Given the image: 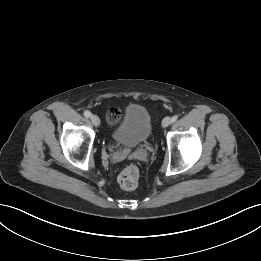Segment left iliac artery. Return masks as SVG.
I'll return each instance as SVG.
<instances>
[{"instance_id": "obj_1", "label": "left iliac artery", "mask_w": 261, "mask_h": 261, "mask_svg": "<svg viewBox=\"0 0 261 261\" xmlns=\"http://www.w3.org/2000/svg\"><path fill=\"white\" fill-rule=\"evenodd\" d=\"M177 119H178V116H177V115H174V116L171 118V123L175 122Z\"/></svg>"}]
</instances>
